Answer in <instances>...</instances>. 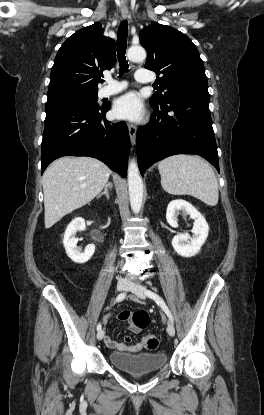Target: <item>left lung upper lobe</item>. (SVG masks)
<instances>
[{"label":"left lung upper lobe","mask_w":264,"mask_h":415,"mask_svg":"<svg viewBox=\"0 0 264 415\" xmlns=\"http://www.w3.org/2000/svg\"><path fill=\"white\" fill-rule=\"evenodd\" d=\"M147 50L145 68L154 71L159 91L150 104L163 105L177 96H209L203 61L192 41L180 31L153 23L141 31Z\"/></svg>","instance_id":"5c2ea615"}]
</instances>
